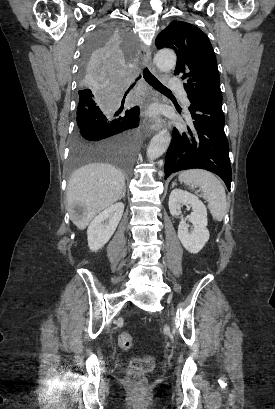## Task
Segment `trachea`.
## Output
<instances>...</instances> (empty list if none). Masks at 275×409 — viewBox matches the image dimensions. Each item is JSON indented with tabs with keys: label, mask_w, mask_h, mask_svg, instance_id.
Wrapping results in <instances>:
<instances>
[{
	"label": "trachea",
	"mask_w": 275,
	"mask_h": 409,
	"mask_svg": "<svg viewBox=\"0 0 275 409\" xmlns=\"http://www.w3.org/2000/svg\"><path fill=\"white\" fill-rule=\"evenodd\" d=\"M143 77L144 79L150 83V85H152V87H154L156 90L159 91H165V92H171V90H169L167 87H165V85H163L161 82H159V80L154 77V75H152L151 72H149V70L145 67V69H143ZM140 78L137 77L136 81ZM135 84V83H134ZM134 84H132L130 86V88H132L134 86ZM130 90V89H129ZM128 90V91H129ZM128 92H126V94L124 95V97L127 95Z\"/></svg>",
	"instance_id": "3493384b"
}]
</instances>
